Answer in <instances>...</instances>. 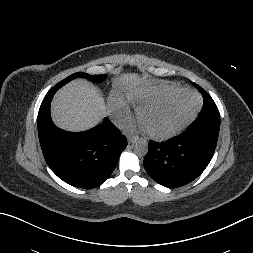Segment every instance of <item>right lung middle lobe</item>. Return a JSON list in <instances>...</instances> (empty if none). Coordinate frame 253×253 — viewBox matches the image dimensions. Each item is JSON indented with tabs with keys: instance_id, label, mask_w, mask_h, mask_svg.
<instances>
[{
	"instance_id": "dd1d6c3e",
	"label": "right lung middle lobe",
	"mask_w": 253,
	"mask_h": 253,
	"mask_svg": "<svg viewBox=\"0 0 253 253\" xmlns=\"http://www.w3.org/2000/svg\"><path fill=\"white\" fill-rule=\"evenodd\" d=\"M77 77H84L93 82H102L106 79V75H89L87 73L77 72L68 76L66 79L62 80L61 82H59L57 85L54 86V89L58 90L60 87H62L63 85L71 81V79L77 78Z\"/></svg>"
}]
</instances>
